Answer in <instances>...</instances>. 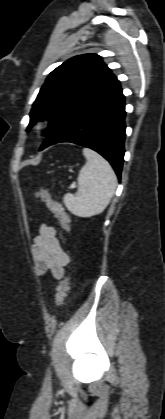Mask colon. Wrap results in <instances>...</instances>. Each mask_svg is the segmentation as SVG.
<instances>
[{
  "instance_id": "colon-1",
  "label": "colon",
  "mask_w": 165,
  "mask_h": 419,
  "mask_svg": "<svg viewBox=\"0 0 165 419\" xmlns=\"http://www.w3.org/2000/svg\"><path fill=\"white\" fill-rule=\"evenodd\" d=\"M34 195L38 200L42 201L46 205L50 212L57 218L62 228L68 230L69 217L62 205L54 198L53 194L49 190L39 188L35 191ZM69 284L70 277L67 275L60 281L57 287L56 302L59 306H61L66 299Z\"/></svg>"
}]
</instances>
